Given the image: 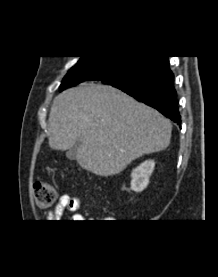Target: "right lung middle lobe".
<instances>
[{
  "label": "right lung middle lobe",
  "instance_id": "right-lung-middle-lobe-1",
  "mask_svg": "<svg viewBox=\"0 0 218 277\" xmlns=\"http://www.w3.org/2000/svg\"><path fill=\"white\" fill-rule=\"evenodd\" d=\"M154 56H81L63 78L60 91L79 84L87 73L100 75V81L112 86L126 84L146 70L155 60Z\"/></svg>",
  "mask_w": 218,
  "mask_h": 277
}]
</instances>
